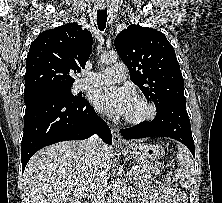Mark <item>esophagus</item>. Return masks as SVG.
I'll use <instances>...</instances> for the list:
<instances>
[{
    "label": "esophagus",
    "instance_id": "obj_1",
    "mask_svg": "<svg viewBox=\"0 0 222 203\" xmlns=\"http://www.w3.org/2000/svg\"><path fill=\"white\" fill-rule=\"evenodd\" d=\"M100 8L104 9L105 8V4H100ZM111 132H112V138H113V145L115 147H122V146H124L126 144L124 142V140L122 139L121 134H120L118 128L112 127L111 128Z\"/></svg>",
    "mask_w": 222,
    "mask_h": 203
}]
</instances>
